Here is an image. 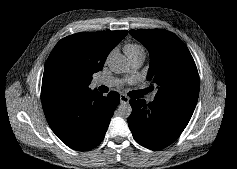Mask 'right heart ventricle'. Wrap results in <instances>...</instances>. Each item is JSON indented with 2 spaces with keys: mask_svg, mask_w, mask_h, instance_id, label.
Listing matches in <instances>:
<instances>
[{
  "mask_svg": "<svg viewBox=\"0 0 237 169\" xmlns=\"http://www.w3.org/2000/svg\"><path fill=\"white\" fill-rule=\"evenodd\" d=\"M124 51L131 61L139 57L145 58L146 55L144 47L139 43L126 44L124 46Z\"/></svg>",
  "mask_w": 237,
  "mask_h": 169,
  "instance_id": "right-heart-ventricle-1",
  "label": "right heart ventricle"
}]
</instances>
